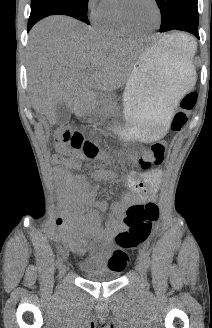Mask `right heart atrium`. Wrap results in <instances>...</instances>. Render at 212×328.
I'll return each instance as SVG.
<instances>
[{
    "mask_svg": "<svg viewBox=\"0 0 212 328\" xmlns=\"http://www.w3.org/2000/svg\"><path fill=\"white\" fill-rule=\"evenodd\" d=\"M110 0H87L89 17L96 22L109 6Z\"/></svg>",
    "mask_w": 212,
    "mask_h": 328,
    "instance_id": "1",
    "label": "right heart atrium"
}]
</instances>
